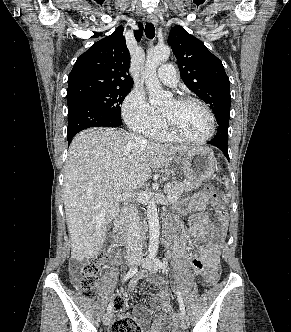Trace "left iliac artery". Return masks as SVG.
Returning <instances> with one entry per match:
<instances>
[{"instance_id": "1", "label": "left iliac artery", "mask_w": 291, "mask_h": 332, "mask_svg": "<svg viewBox=\"0 0 291 332\" xmlns=\"http://www.w3.org/2000/svg\"><path fill=\"white\" fill-rule=\"evenodd\" d=\"M152 258L157 267H159L161 269H165L164 263H162V261L159 258H157L156 256H153ZM177 298H178L179 308H180L181 313L186 314L185 306L183 303V298H182V295H181V292H180L178 286H177Z\"/></svg>"}]
</instances>
